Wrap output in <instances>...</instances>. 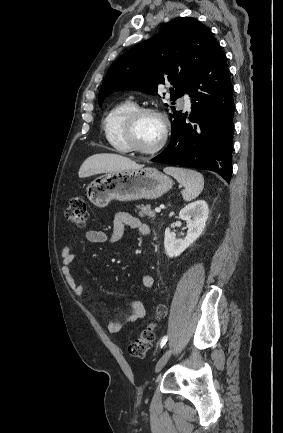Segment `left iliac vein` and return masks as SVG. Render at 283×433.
I'll return each mask as SVG.
<instances>
[{"label":"left iliac vein","instance_id":"4c4485c4","mask_svg":"<svg viewBox=\"0 0 283 433\" xmlns=\"http://www.w3.org/2000/svg\"><path fill=\"white\" fill-rule=\"evenodd\" d=\"M171 355H172V349H168L161 357H160V359L158 360V362H157V364H156V367H155V369H156V371L158 372V371H160L164 366H165V364L168 362V360H169V358L171 357Z\"/></svg>","mask_w":283,"mask_h":433}]
</instances>
